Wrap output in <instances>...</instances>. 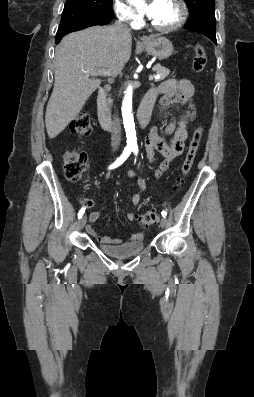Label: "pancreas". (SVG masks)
Returning a JSON list of instances; mask_svg holds the SVG:
<instances>
[{"label": "pancreas", "instance_id": "cf45deb5", "mask_svg": "<svg viewBox=\"0 0 254 397\" xmlns=\"http://www.w3.org/2000/svg\"><path fill=\"white\" fill-rule=\"evenodd\" d=\"M154 70L160 76L157 80H164L170 73L169 69L157 64L154 66ZM108 104H111V99H108Z\"/></svg>", "mask_w": 254, "mask_h": 397}]
</instances>
